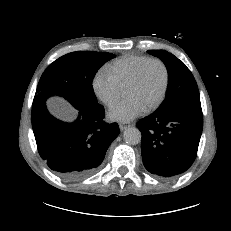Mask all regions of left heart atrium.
<instances>
[{
  "label": "left heart atrium",
  "instance_id": "left-heart-atrium-1",
  "mask_svg": "<svg viewBox=\"0 0 231 231\" xmlns=\"http://www.w3.org/2000/svg\"><path fill=\"white\" fill-rule=\"evenodd\" d=\"M145 106L135 98H127L114 103L109 111L108 117L112 121L129 122L145 112Z\"/></svg>",
  "mask_w": 231,
  "mask_h": 231
}]
</instances>
